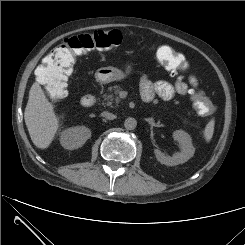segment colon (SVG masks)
I'll return each instance as SVG.
<instances>
[{
	"label": "colon",
	"mask_w": 245,
	"mask_h": 245,
	"mask_svg": "<svg viewBox=\"0 0 245 245\" xmlns=\"http://www.w3.org/2000/svg\"><path fill=\"white\" fill-rule=\"evenodd\" d=\"M121 43L122 35L118 30H99L71 37L45 58L43 65L38 69V78L45 84L51 99H62L67 94L68 78L78 55L92 50H109ZM157 59L174 72L182 71L187 66L184 57L168 46L158 49ZM191 100L200 116L208 118L214 114V103L202 92L193 91Z\"/></svg>",
	"instance_id": "obj_1"
}]
</instances>
